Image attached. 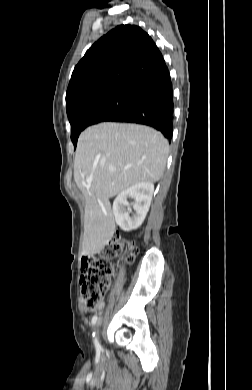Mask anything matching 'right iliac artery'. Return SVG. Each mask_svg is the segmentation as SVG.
Listing matches in <instances>:
<instances>
[{
    "label": "right iliac artery",
    "mask_w": 252,
    "mask_h": 390,
    "mask_svg": "<svg viewBox=\"0 0 252 390\" xmlns=\"http://www.w3.org/2000/svg\"><path fill=\"white\" fill-rule=\"evenodd\" d=\"M97 319H98L97 315H94L93 318H92V325L93 326L96 324ZM93 337H94V344H95L96 350L97 351H101V346H100L97 338L95 337V333H93Z\"/></svg>",
    "instance_id": "82829eb1"
}]
</instances>
